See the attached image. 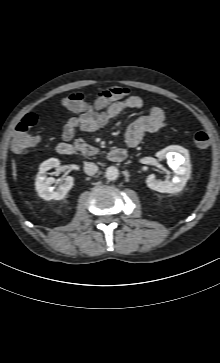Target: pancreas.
Segmentation results:
<instances>
[{"label": "pancreas", "instance_id": "pancreas-1", "mask_svg": "<svg viewBox=\"0 0 220 363\" xmlns=\"http://www.w3.org/2000/svg\"><path fill=\"white\" fill-rule=\"evenodd\" d=\"M81 141V139H77L75 141V146L76 148L83 154V155H87V156H91V155H95L99 152L98 148H95L93 146H90L86 143H79Z\"/></svg>", "mask_w": 220, "mask_h": 363}]
</instances>
